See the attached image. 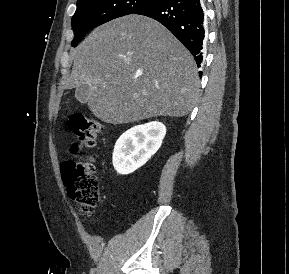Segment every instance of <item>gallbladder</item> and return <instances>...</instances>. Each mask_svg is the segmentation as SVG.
<instances>
[{"instance_id":"bac80fb5","label":"gallbladder","mask_w":289,"mask_h":274,"mask_svg":"<svg viewBox=\"0 0 289 274\" xmlns=\"http://www.w3.org/2000/svg\"><path fill=\"white\" fill-rule=\"evenodd\" d=\"M89 88L85 85L80 86L75 91V97L81 103H86L88 99Z\"/></svg>"}]
</instances>
